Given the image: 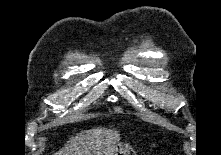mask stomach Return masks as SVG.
I'll return each mask as SVG.
<instances>
[{"label": "stomach", "instance_id": "obj_1", "mask_svg": "<svg viewBox=\"0 0 221 155\" xmlns=\"http://www.w3.org/2000/svg\"><path fill=\"white\" fill-rule=\"evenodd\" d=\"M131 150L128 144L118 143L111 155H131Z\"/></svg>", "mask_w": 221, "mask_h": 155}]
</instances>
